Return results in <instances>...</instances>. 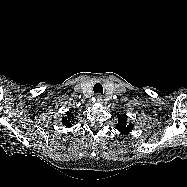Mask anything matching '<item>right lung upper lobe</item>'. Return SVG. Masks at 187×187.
Listing matches in <instances>:
<instances>
[{
  "label": "right lung upper lobe",
  "instance_id": "right-lung-upper-lobe-1",
  "mask_svg": "<svg viewBox=\"0 0 187 187\" xmlns=\"http://www.w3.org/2000/svg\"><path fill=\"white\" fill-rule=\"evenodd\" d=\"M67 117H64L62 119V123L66 126V127H71L72 126V118H73V114L70 112L66 113Z\"/></svg>",
  "mask_w": 187,
  "mask_h": 187
}]
</instances>
